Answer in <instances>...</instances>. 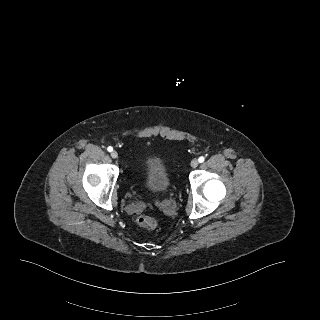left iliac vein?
Instances as JSON below:
<instances>
[{"label": "left iliac vein", "mask_w": 320, "mask_h": 320, "mask_svg": "<svg viewBox=\"0 0 320 320\" xmlns=\"http://www.w3.org/2000/svg\"><path fill=\"white\" fill-rule=\"evenodd\" d=\"M199 165V161L197 159H193L191 161V167L196 168Z\"/></svg>", "instance_id": "1"}]
</instances>
